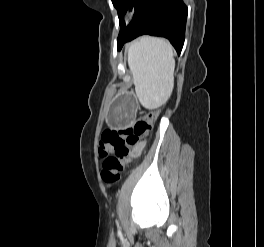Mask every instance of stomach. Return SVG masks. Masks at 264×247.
Returning a JSON list of instances; mask_svg holds the SVG:
<instances>
[{
    "mask_svg": "<svg viewBox=\"0 0 264 247\" xmlns=\"http://www.w3.org/2000/svg\"><path fill=\"white\" fill-rule=\"evenodd\" d=\"M118 98L110 108L108 122L116 127L134 123L137 117L136 94H119Z\"/></svg>",
    "mask_w": 264,
    "mask_h": 247,
    "instance_id": "1",
    "label": "stomach"
}]
</instances>
